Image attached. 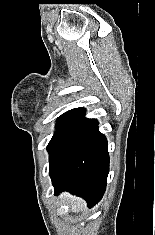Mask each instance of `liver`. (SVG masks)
Listing matches in <instances>:
<instances>
[{
  "label": "liver",
  "mask_w": 155,
  "mask_h": 235,
  "mask_svg": "<svg viewBox=\"0 0 155 235\" xmlns=\"http://www.w3.org/2000/svg\"><path fill=\"white\" fill-rule=\"evenodd\" d=\"M63 198H66L70 201L72 212H79L80 210H83L85 208V202L82 199H77L70 196L69 194H64Z\"/></svg>",
  "instance_id": "1"
}]
</instances>
